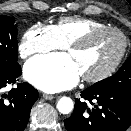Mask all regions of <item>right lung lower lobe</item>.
<instances>
[{"mask_svg":"<svg viewBox=\"0 0 131 131\" xmlns=\"http://www.w3.org/2000/svg\"><path fill=\"white\" fill-rule=\"evenodd\" d=\"M21 73L19 66L10 73L0 74V91L15 83ZM38 96L37 90L28 83H19L7 95L3 94L0 97V131H24Z\"/></svg>","mask_w":131,"mask_h":131,"instance_id":"98d812e1","label":"right lung lower lobe"}]
</instances>
